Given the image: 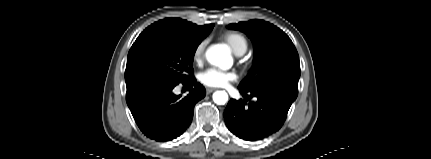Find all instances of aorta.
I'll use <instances>...</instances> for the list:
<instances>
[{"instance_id": "1", "label": "aorta", "mask_w": 431, "mask_h": 159, "mask_svg": "<svg viewBox=\"0 0 431 159\" xmlns=\"http://www.w3.org/2000/svg\"><path fill=\"white\" fill-rule=\"evenodd\" d=\"M206 58L220 68H226L231 63L230 51L223 45H215L208 49ZM213 101L218 105H224L228 101V94L225 91H216L213 94Z\"/></svg>"}]
</instances>
